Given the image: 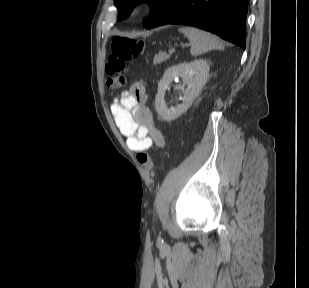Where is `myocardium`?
Here are the masks:
<instances>
[{
    "label": "myocardium",
    "instance_id": "obj_1",
    "mask_svg": "<svg viewBox=\"0 0 309 288\" xmlns=\"http://www.w3.org/2000/svg\"><path fill=\"white\" fill-rule=\"evenodd\" d=\"M146 11V6L141 1L132 2L127 9V16L131 19H137L141 17Z\"/></svg>",
    "mask_w": 309,
    "mask_h": 288
}]
</instances>
